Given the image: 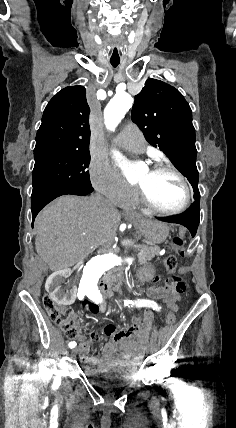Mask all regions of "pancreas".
I'll list each match as a JSON object with an SVG mask.
<instances>
[{"label":"pancreas","mask_w":236,"mask_h":428,"mask_svg":"<svg viewBox=\"0 0 236 428\" xmlns=\"http://www.w3.org/2000/svg\"><path fill=\"white\" fill-rule=\"evenodd\" d=\"M136 248H140L138 250L139 264H147L148 260H152L160 252L159 246H136Z\"/></svg>","instance_id":"pancreas-1"}]
</instances>
